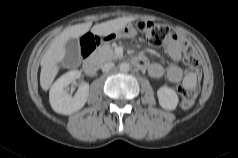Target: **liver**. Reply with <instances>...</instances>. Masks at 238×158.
Listing matches in <instances>:
<instances>
[{"instance_id": "liver-1", "label": "liver", "mask_w": 238, "mask_h": 158, "mask_svg": "<svg viewBox=\"0 0 238 158\" xmlns=\"http://www.w3.org/2000/svg\"><path fill=\"white\" fill-rule=\"evenodd\" d=\"M133 21L131 17H122L100 24L82 23L66 28L50 44L41 60L40 85L44 91H47L54 78L56 77L60 66L59 63L64 59L66 50L65 44L70 38H79L86 34L90 28L93 34L106 36L125 27L127 23Z\"/></svg>"}]
</instances>
